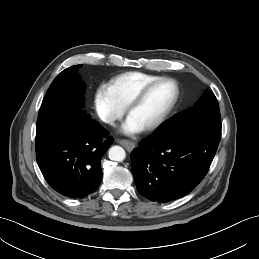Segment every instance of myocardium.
I'll use <instances>...</instances> for the list:
<instances>
[{
    "label": "myocardium",
    "instance_id": "myocardium-1",
    "mask_svg": "<svg viewBox=\"0 0 259 259\" xmlns=\"http://www.w3.org/2000/svg\"><path fill=\"white\" fill-rule=\"evenodd\" d=\"M162 82H170L174 85L175 96H174L172 102L169 104V106L161 114V116L157 120H155L153 123H151L148 126L143 128V130L146 132L153 131V130L157 129L158 127H160L166 121V119L169 117V115L172 113V111L174 110V108L176 107V105L179 101L180 94H181L179 83L171 77L157 78V79L149 82L148 84L144 85L142 88H140L135 93V95L129 100V102L127 103V105L125 107L126 114L129 116L130 112L144 99L146 94L154 86H156L157 84L162 83Z\"/></svg>",
    "mask_w": 259,
    "mask_h": 259
}]
</instances>
